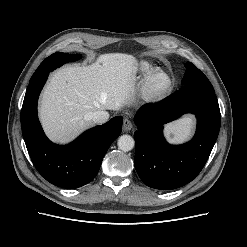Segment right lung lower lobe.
Masks as SVG:
<instances>
[{"label":"right lung lower lobe","mask_w":247,"mask_h":247,"mask_svg":"<svg viewBox=\"0 0 247 247\" xmlns=\"http://www.w3.org/2000/svg\"><path fill=\"white\" fill-rule=\"evenodd\" d=\"M49 73L30 80L21 110L23 138L38 172L53 185L74 189L91 182L103 157L122 131V116L84 132L74 142L61 146L44 134L37 115V102Z\"/></svg>","instance_id":"1"}]
</instances>
